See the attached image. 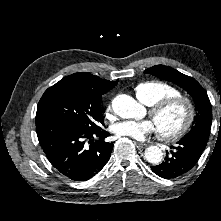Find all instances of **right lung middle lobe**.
Wrapping results in <instances>:
<instances>
[{
    "label": "right lung middle lobe",
    "mask_w": 221,
    "mask_h": 221,
    "mask_svg": "<svg viewBox=\"0 0 221 221\" xmlns=\"http://www.w3.org/2000/svg\"><path fill=\"white\" fill-rule=\"evenodd\" d=\"M102 95L75 86H52L41 97L37 113L64 119L88 132L102 130Z\"/></svg>",
    "instance_id": "right-lung-middle-lobe-1"
}]
</instances>
